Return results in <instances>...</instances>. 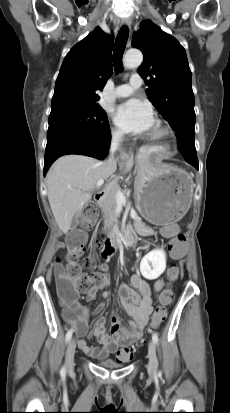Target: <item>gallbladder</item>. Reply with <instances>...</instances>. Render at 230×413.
Returning <instances> with one entry per match:
<instances>
[{
    "mask_svg": "<svg viewBox=\"0 0 230 413\" xmlns=\"http://www.w3.org/2000/svg\"><path fill=\"white\" fill-rule=\"evenodd\" d=\"M77 224H78V219L75 218V219L72 221V226L74 227V226H76Z\"/></svg>",
    "mask_w": 230,
    "mask_h": 413,
    "instance_id": "bac80fb5",
    "label": "gallbladder"
}]
</instances>
